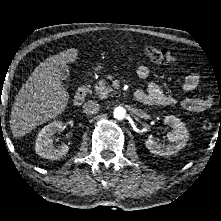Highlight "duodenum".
Here are the masks:
<instances>
[{"label":"duodenum","mask_w":221,"mask_h":221,"mask_svg":"<svg viewBox=\"0 0 221 221\" xmlns=\"http://www.w3.org/2000/svg\"><path fill=\"white\" fill-rule=\"evenodd\" d=\"M138 95V92L134 93V97H136ZM87 96V84L84 82L82 83L79 88L76 91V94L74 96L73 102L75 105L79 106L81 105Z\"/></svg>","instance_id":"obj_1"}]
</instances>
